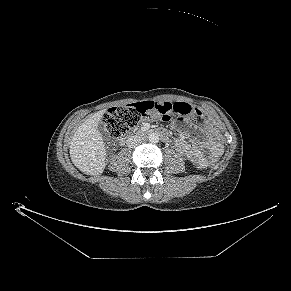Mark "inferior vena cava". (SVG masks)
Returning <instances> with one entry per match:
<instances>
[{"label": "inferior vena cava", "mask_w": 291, "mask_h": 291, "mask_svg": "<svg viewBox=\"0 0 291 291\" xmlns=\"http://www.w3.org/2000/svg\"><path fill=\"white\" fill-rule=\"evenodd\" d=\"M142 142L141 138L138 136H131L126 140V144L128 147H136L140 145Z\"/></svg>", "instance_id": "obj_1"}]
</instances>
